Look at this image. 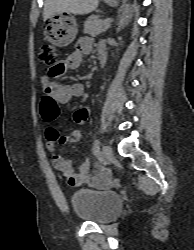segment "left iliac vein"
I'll use <instances>...</instances> for the list:
<instances>
[{
	"mask_svg": "<svg viewBox=\"0 0 194 250\" xmlns=\"http://www.w3.org/2000/svg\"><path fill=\"white\" fill-rule=\"evenodd\" d=\"M103 155L106 159L111 160L113 157V150L110 146L104 145L102 148Z\"/></svg>",
	"mask_w": 194,
	"mask_h": 250,
	"instance_id": "obj_1",
	"label": "left iliac vein"
}]
</instances>
